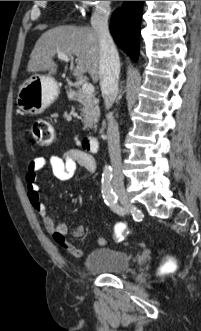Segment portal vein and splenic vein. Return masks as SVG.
I'll use <instances>...</instances> for the list:
<instances>
[{"mask_svg":"<svg viewBox=\"0 0 201 331\" xmlns=\"http://www.w3.org/2000/svg\"><path fill=\"white\" fill-rule=\"evenodd\" d=\"M57 57L65 62H69L70 60L69 57L63 53H58ZM82 91L86 94H92L94 92V86L91 83L85 82L82 84Z\"/></svg>","mask_w":201,"mask_h":331,"instance_id":"18ae733b","label":"portal vein and splenic vein"}]
</instances>
